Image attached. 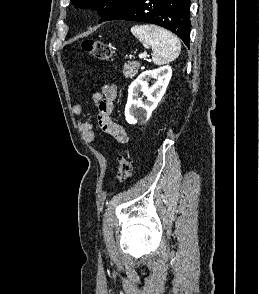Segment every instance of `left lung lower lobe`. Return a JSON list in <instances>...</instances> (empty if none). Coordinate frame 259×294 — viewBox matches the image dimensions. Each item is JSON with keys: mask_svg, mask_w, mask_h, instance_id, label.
<instances>
[{"mask_svg": "<svg viewBox=\"0 0 259 294\" xmlns=\"http://www.w3.org/2000/svg\"><path fill=\"white\" fill-rule=\"evenodd\" d=\"M189 7L190 0H129L104 21L129 20L156 24L175 33L189 47Z\"/></svg>", "mask_w": 259, "mask_h": 294, "instance_id": "0a47b994", "label": "left lung lower lobe"}]
</instances>
